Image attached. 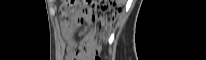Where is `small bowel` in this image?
Wrapping results in <instances>:
<instances>
[{"mask_svg":"<svg viewBox=\"0 0 206 60\" xmlns=\"http://www.w3.org/2000/svg\"><path fill=\"white\" fill-rule=\"evenodd\" d=\"M74 27L69 24H64L62 27V32L66 38H68L72 32ZM67 59L68 60H82V58L78 55L75 47L73 45H70L68 47V53H67Z\"/></svg>","mask_w":206,"mask_h":60,"instance_id":"small-bowel-1","label":"small bowel"}]
</instances>
